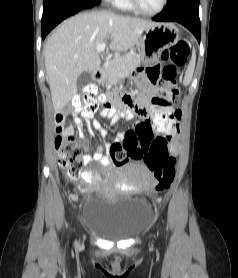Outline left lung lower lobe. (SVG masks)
<instances>
[{"label": "left lung lower lobe", "mask_w": 238, "mask_h": 278, "mask_svg": "<svg viewBox=\"0 0 238 278\" xmlns=\"http://www.w3.org/2000/svg\"><path fill=\"white\" fill-rule=\"evenodd\" d=\"M200 0H168L166 9L153 17L158 22H179L188 28L200 43Z\"/></svg>", "instance_id": "left-lung-lower-lobe-1"}]
</instances>
